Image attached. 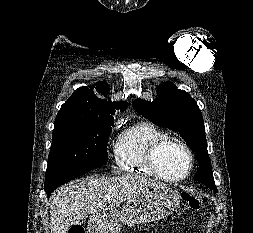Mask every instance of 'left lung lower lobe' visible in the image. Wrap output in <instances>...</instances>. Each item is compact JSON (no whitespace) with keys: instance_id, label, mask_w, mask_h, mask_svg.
Instances as JSON below:
<instances>
[{"instance_id":"1","label":"left lung lower lobe","mask_w":253,"mask_h":233,"mask_svg":"<svg viewBox=\"0 0 253 233\" xmlns=\"http://www.w3.org/2000/svg\"><path fill=\"white\" fill-rule=\"evenodd\" d=\"M210 189L214 190L215 192H218V191H217V188H210Z\"/></svg>"}]
</instances>
